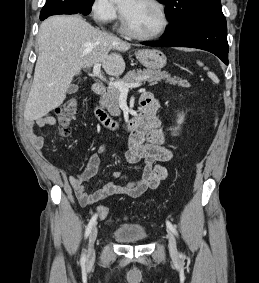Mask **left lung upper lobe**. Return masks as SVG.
Listing matches in <instances>:
<instances>
[{"mask_svg": "<svg viewBox=\"0 0 259 283\" xmlns=\"http://www.w3.org/2000/svg\"><path fill=\"white\" fill-rule=\"evenodd\" d=\"M166 5L170 24L166 32L183 28L203 15L221 9L220 0H158Z\"/></svg>", "mask_w": 259, "mask_h": 283, "instance_id": "5c2ea615", "label": "left lung upper lobe"}]
</instances>
